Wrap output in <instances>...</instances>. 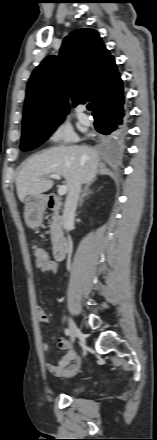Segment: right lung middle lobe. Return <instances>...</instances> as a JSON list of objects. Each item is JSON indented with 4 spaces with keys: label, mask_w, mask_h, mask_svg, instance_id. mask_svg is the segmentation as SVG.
Instances as JSON below:
<instances>
[{
    "label": "right lung middle lobe",
    "mask_w": 157,
    "mask_h": 440,
    "mask_svg": "<svg viewBox=\"0 0 157 440\" xmlns=\"http://www.w3.org/2000/svg\"><path fill=\"white\" fill-rule=\"evenodd\" d=\"M62 120L63 119L50 121V122L31 123L26 126H23L20 149L22 151H29L38 147L45 140L48 139V137L55 130V128L61 123ZM105 140L115 141L117 139H115L112 136H109V137H105Z\"/></svg>",
    "instance_id": "1"
}]
</instances>
